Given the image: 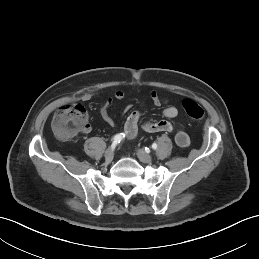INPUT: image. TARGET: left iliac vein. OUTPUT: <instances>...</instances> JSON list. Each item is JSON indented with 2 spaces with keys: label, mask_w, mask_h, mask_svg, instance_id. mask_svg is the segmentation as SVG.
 <instances>
[{
  "label": "left iliac vein",
  "mask_w": 259,
  "mask_h": 259,
  "mask_svg": "<svg viewBox=\"0 0 259 259\" xmlns=\"http://www.w3.org/2000/svg\"><path fill=\"white\" fill-rule=\"evenodd\" d=\"M138 159L143 163H150L152 161V156L146 153L143 149H138L136 151Z\"/></svg>",
  "instance_id": "1"
}]
</instances>
